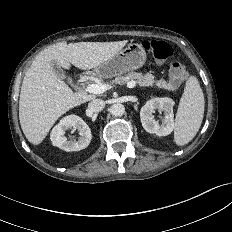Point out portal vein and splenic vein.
<instances>
[{"instance_id": "obj_1", "label": "portal vein and splenic vein", "mask_w": 232, "mask_h": 232, "mask_svg": "<svg viewBox=\"0 0 232 232\" xmlns=\"http://www.w3.org/2000/svg\"><path fill=\"white\" fill-rule=\"evenodd\" d=\"M136 86L135 81H130L127 83L128 88H134ZM109 89L108 84H89L86 86V91L93 94H102Z\"/></svg>"}]
</instances>
